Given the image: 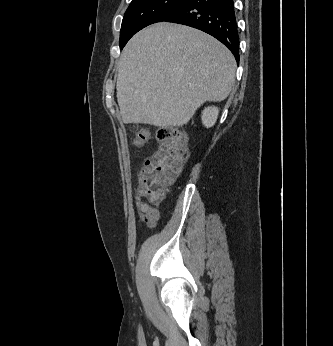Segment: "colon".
Here are the masks:
<instances>
[{"label": "colon", "mask_w": 333, "mask_h": 346, "mask_svg": "<svg viewBox=\"0 0 333 346\" xmlns=\"http://www.w3.org/2000/svg\"><path fill=\"white\" fill-rule=\"evenodd\" d=\"M148 138V132L140 130L136 132L134 140L137 145H142ZM158 141L157 150L145 160L139 176L138 191L148 204L163 201L167 188L180 174L188 156L185 137L181 132L163 129L158 133Z\"/></svg>", "instance_id": "5ec220e1"}]
</instances>
